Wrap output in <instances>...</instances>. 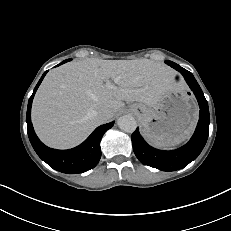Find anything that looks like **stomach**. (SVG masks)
<instances>
[{"instance_id":"1","label":"stomach","mask_w":231,"mask_h":231,"mask_svg":"<svg viewBox=\"0 0 231 231\" xmlns=\"http://www.w3.org/2000/svg\"><path fill=\"white\" fill-rule=\"evenodd\" d=\"M130 109L145 137L157 147H171L187 139L198 118L194 98L179 86L166 91L153 107L135 103Z\"/></svg>"}]
</instances>
